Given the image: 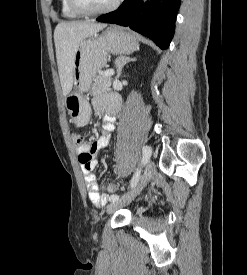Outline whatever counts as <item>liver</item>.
Returning a JSON list of instances; mask_svg holds the SVG:
<instances>
[{"mask_svg":"<svg viewBox=\"0 0 247 275\" xmlns=\"http://www.w3.org/2000/svg\"><path fill=\"white\" fill-rule=\"evenodd\" d=\"M105 23L90 21L61 22L54 30V42L59 78L64 97L70 94L73 87L74 59L79 43L102 29Z\"/></svg>","mask_w":247,"mask_h":275,"instance_id":"1","label":"liver"}]
</instances>
